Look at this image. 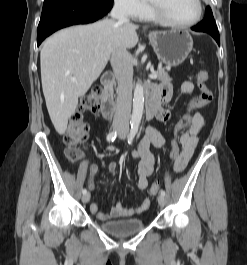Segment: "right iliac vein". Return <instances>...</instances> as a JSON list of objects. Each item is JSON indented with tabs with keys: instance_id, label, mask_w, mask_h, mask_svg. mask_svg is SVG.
Segmentation results:
<instances>
[{
	"instance_id": "obj_1",
	"label": "right iliac vein",
	"mask_w": 247,
	"mask_h": 265,
	"mask_svg": "<svg viewBox=\"0 0 247 265\" xmlns=\"http://www.w3.org/2000/svg\"><path fill=\"white\" fill-rule=\"evenodd\" d=\"M90 193H86V194H84L83 196H82V202L83 203H88L89 202V200H90Z\"/></svg>"
}]
</instances>
